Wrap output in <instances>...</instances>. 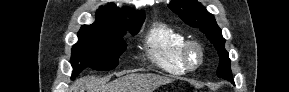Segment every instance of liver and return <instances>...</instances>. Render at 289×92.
<instances>
[{"instance_id": "1", "label": "liver", "mask_w": 289, "mask_h": 92, "mask_svg": "<svg viewBox=\"0 0 289 92\" xmlns=\"http://www.w3.org/2000/svg\"><path fill=\"white\" fill-rule=\"evenodd\" d=\"M173 79L156 74H130L108 84L94 77L77 81L73 92H153Z\"/></svg>"}]
</instances>
